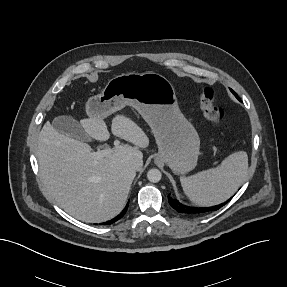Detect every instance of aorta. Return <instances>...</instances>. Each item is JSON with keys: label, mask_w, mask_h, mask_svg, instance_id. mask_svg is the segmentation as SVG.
<instances>
[{"label": "aorta", "mask_w": 287, "mask_h": 287, "mask_svg": "<svg viewBox=\"0 0 287 287\" xmlns=\"http://www.w3.org/2000/svg\"><path fill=\"white\" fill-rule=\"evenodd\" d=\"M147 178L150 182L157 183L161 180L162 174L160 170L153 168L147 172Z\"/></svg>", "instance_id": "aorta-1"}]
</instances>
